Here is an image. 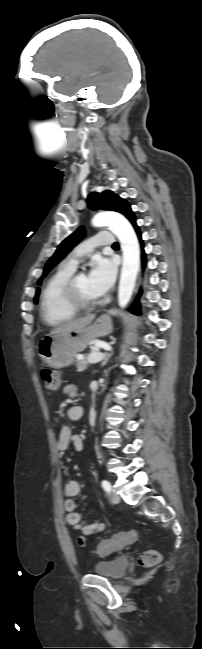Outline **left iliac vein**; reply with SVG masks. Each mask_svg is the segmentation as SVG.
I'll return each mask as SVG.
<instances>
[{
	"mask_svg": "<svg viewBox=\"0 0 202 649\" xmlns=\"http://www.w3.org/2000/svg\"><path fill=\"white\" fill-rule=\"evenodd\" d=\"M110 498L116 503L120 501V496L114 491H111Z\"/></svg>",
	"mask_w": 202,
	"mask_h": 649,
	"instance_id": "4c4485c4",
	"label": "left iliac vein"
}]
</instances>
